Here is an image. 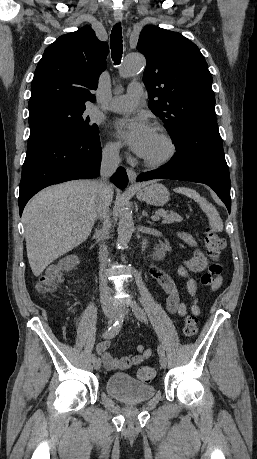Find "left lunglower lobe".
<instances>
[{"label": "left lung lower lobe", "instance_id": "left-lung-lower-lobe-1", "mask_svg": "<svg viewBox=\"0 0 257 459\" xmlns=\"http://www.w3.org/2000/svg\"><path fill=\"white\" fill-rule=\"evenodd\" d=\"M174 144L176 155L162 168L140 174L137 181L163 178L207 184L230 213L229 169L216 120L188 125Z\"/></svg>", "mask_w": 257, "mask_h": 459}]
</instances>
